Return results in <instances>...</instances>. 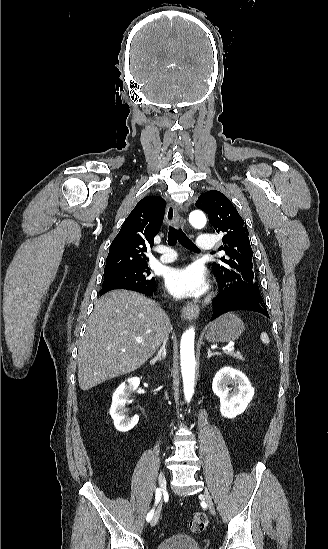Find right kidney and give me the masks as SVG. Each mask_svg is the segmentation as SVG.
Listing matches in <instances>:
<instances>
[{
  "label": "right kidney",
  "instance_id": "obj_1",
  "mask_svg": "<svg viewBox=\"0 0 328 549\" xmlns=\"http://www.w3.org/2000/svg\"><path fill=\"white\" fill-rule=\"evenodd\" d=\"M140 385V379L138 377H132V379H127V383H121L112 397V405L110 409V415L114 421V425L117 431L121 433H127L131 431L139 421L138 415H134L131 419L125 417V405L126 403H132L129 401L128 397L136 391Z\"/></svg>",
  "mask_w": 328,
  "mask_h": 549
}]
</instances>
